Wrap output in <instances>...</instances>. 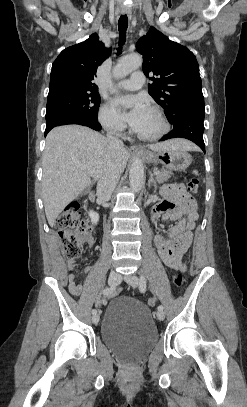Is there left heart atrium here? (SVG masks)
<instances>
[{
  "mask_svg": "<svg viewBox=\"0 0 247 407\" xmlns=\"http://www.w3.org/2000/svg\"><path fill=\"white\" fill-rule=\"evenodd\" d=\"M113 105L122 119L135 128L149 110L141 96H120L114 99Z\"/></svg>",
  "mask_w": 247,
  "mask_h": 407,
  "instance_id": "obj_1",
  "label": "left heart atrium"
}]
</instances>
